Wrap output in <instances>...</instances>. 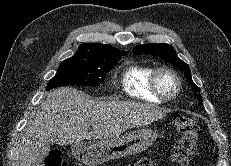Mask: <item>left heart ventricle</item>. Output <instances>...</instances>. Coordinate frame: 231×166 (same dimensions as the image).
Masks as SVG:
<instances>
[{"mask_svg":"<svg viewBox=\"0 0 231 166\" xmlns=\"http://www.w3.org/2000/svg\"><path fill=\"white\" fill-rule=\"evenodd\" d=\"M159 86L166 95H172L176 89L175 80L167 73L160 76Z\"/></svg>","mask_w":231,"mask_h":166,"instance_id":"obj_1","label":"left heart ventricle"}]
</instances>
